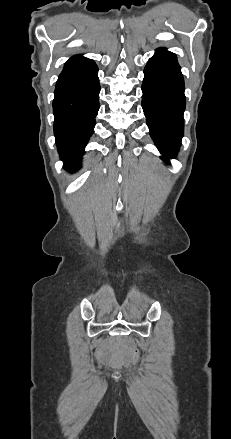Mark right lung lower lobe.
<instances>
[{
  "mask_svg": "<svg viewBox=\"0 0 231 439\" xmlns=\"http://www.w3.org/2000/svg\"><path fill=\"white\" fill-rule=\"evenodd\" d=\"M99 92L98 67L88 58L66 66L58 78L53 101L54 134L64 168L70 172L81 167L84 148L93 134Z\"/></svg>",
  "mask_w": 231,
  "mask_h": 439,
  "instance_id": "98d812e1",
  "label": "right lung lower lobe"
}]
</instances>
